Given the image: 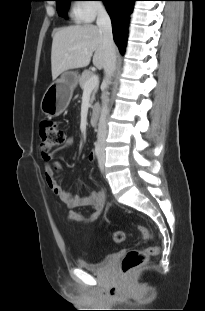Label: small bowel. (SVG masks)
<instances>
[{"label": "small bowel", "instance_id": "obj_1", "mask_svg": "<svg viewBox=\"0 0 205 311\" xmlns=\"http://www.w3.org/2000/svg\"><path fill=\"white\" fill-rule=\"evenodd\" d=\"M75 140L73 137H67L62 144V149L73 147ZM88 160L93 162L96 160V153L90 151ZM60 173V164L56 161H46L44 167V176L48 187L59 197L69 209L68 219L74 223H91L95 221L102 213L105 206V194L103 191L92 192L89 195L79 196L72 195L66 191L59 183L58 175ZM79 207H91L92 211L88 217L75 209Z\"/></svg>", "mask_w": 205, "mask_h": 311}]
</instances>
